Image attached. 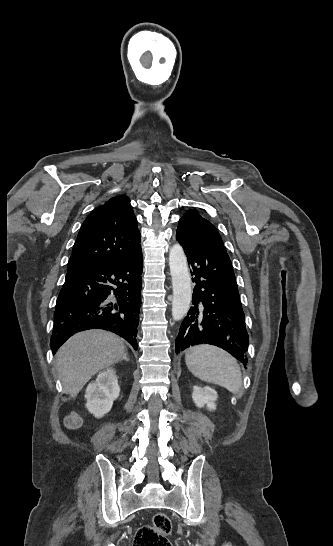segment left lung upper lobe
Returning a JSON list of instances; mask_svg holds the SVG:
<instances>
[{"instance_id": "1", "label": "left lung upper lobe", "mask_w": 333, "mask_h": 546, "mask_svg": "<svg viewBox=\"0 0 333 546\" xmlns=\"http://www.w3.org/2000/svg\"><path fill=\"white\" fill-rule=\"evenodd\" d=\"M180 223L196 237L226 252L221 236L215 226L199 215L197 211L188 210L185 212L184 216L179 221V224Z\"/></svg>"}]
</instances>
